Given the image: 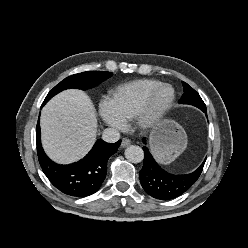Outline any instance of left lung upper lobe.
I'll return each instance as SVG.
<instances>
[{
  "label": "left lung upper lobe",
  "mask_w": 248,
  "mask_h": 248,
  "mask_svg": "<svg viewBox=\"0 0 248 248\" xmlns=\"http://www.w3.org/2000/svg\"><path fill=\"white\" fill-rule=\"evenodd\" d=\"M184 88V94L182 95L179 103L181 104H190L198 107L199 109L206 108L205 103L201 99L200 95L187 83L182 82Z\"/></svg>",
  "instance_id": "5c2ea615"
}]
</instances>
